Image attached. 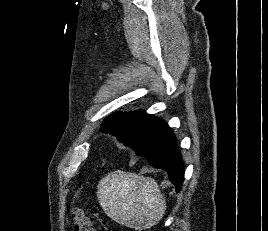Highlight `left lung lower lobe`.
<instances>
[{
    "mask_svg": "<svg viewBox=\"0 0 268 231\" xmlns=\"http://www.w3.org/2000/svg\"><path fill=\"white\" fill-rule=\"evenodd\" d=\"M138 156L145 157L153 167L165 170L179 192L184 180V166L174 133L167 123L145 142L131 147Z\"/></svg>",
    "mask_w": 268,
    "mask_h": 231,
    "instance_id": "obj_1",
    "label": "left lung lower lobe"
}]
</instances>
